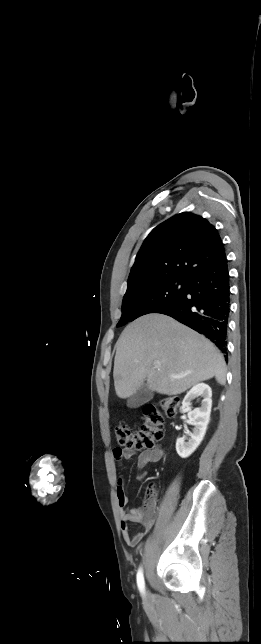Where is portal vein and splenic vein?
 I'll use <instances>...</instances> for the list:
<instances>
[{
	"instance_id": "obj_1",
	"label": "portal vein and splenic vein",
	"mask_w": 261,
	"mask_h": 644,
	"mask_svg": "<svg viewBox=\"0 0 261 644\" xmlns=\"http://www.w3.org/2000/svg\"><path fill=\"white\" fill-rule=\"evenodd\" d=\"M154 366H155V368H160L161 363L157 361V362H155V363H154ZM171 377H173V378H180V376H173V375H171Z\"/></svg>"
}]
</instances>
